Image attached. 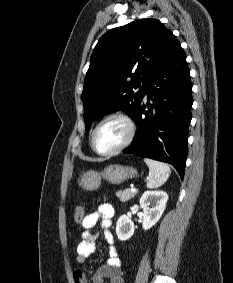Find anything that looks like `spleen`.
Listing matches in <instances>:
<instances>
[{
    "label": "spleen",
    "instance_id": "obj_1",
    "mask_svg": "<svg viewBox=\"0 0 233 283\" xmlns=\"http://www.w3.org/2000/svg\"><path fill=\"white\" fill-rule=\"evenodd\" d=\"M144 162L149 167V177L147 180V188L153 189L163 185L170 176V167L162 162L145 158Z\"/></svg>",
    "mask_w": 233,
    "mask_h": 283
}]
</instances>
